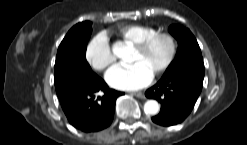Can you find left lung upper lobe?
Instances as JSON below:
<instances>
[{
	"mask_svg": "<svg viewBox=\"0 0 247 145\" xmlns=\"http://www.w3.org/2000/svg\"><path fill=\"white\" fill-rule=\"evenodd\" d=\"M169 32L178 41V51L166 72L173 71L183 65H203L201 50L189 29L181 25H171Z\"/></svg>",
	"mask_w": 247,
	"mask_h": 145,
	"instance_id": "obj_1",
	"label": "left lung upper lobe"
}]
</instances>
